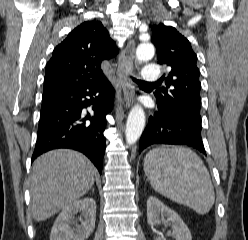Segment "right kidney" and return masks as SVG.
<instances>
[{
	"instance_id": "obj_1",
	"label": "right kidney",
	"mask_w": 248,
	"mask_h": 240,
	"mask_svg": "<svg viewBox=\"0 0 248 240\" xmlns=\"http://www.w3.org/2000/svg\"><path fill=\"white\" fill-rule=\"evenodd\" d=\"M79 212L82 216L81 224L74 221V217ZM95 219V200L91 197L76 200L58 215L50 233V240H86L95 228Z\"/></svg>"
}]
</instances>
